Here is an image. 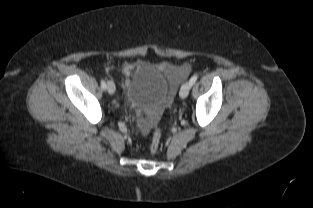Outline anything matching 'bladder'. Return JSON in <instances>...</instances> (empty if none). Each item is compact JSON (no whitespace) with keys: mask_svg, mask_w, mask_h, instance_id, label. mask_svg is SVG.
<instances>
[{"mask_svg":"<svg viewBox=\"0 0 313 208\" xmlns=\"http://www.w3.org/2000/svg\"><path fill=\"white\" fill-rule=\"evenodd\" d=\"M169 96V81L158 70L140 68L125 89V100L132 109L161 113Z\"/></svg>","mask_w":313,"mask_h":208,"instance_id":"obj_1","label":"bladder"}]
</instances>
